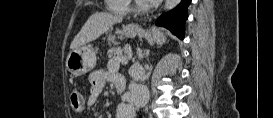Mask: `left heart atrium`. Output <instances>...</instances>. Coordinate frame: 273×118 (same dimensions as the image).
Instances as JSON below:
<instances>
[{"mask_svg": "<svg viewBox=\"0 0 273 118\" xmlns=\"http://www.w3.org/2000/svg\"><path fill=\"white\" fill-rule=\"evenodd\" d=\"M142 3H145L147 5H154L160 2V0H141Z\"/></svg>", "mask_w": 273, "mask_h": 118, "instance_id": "39dd6f15", "label": "left heart atrium"}]
</instances>
